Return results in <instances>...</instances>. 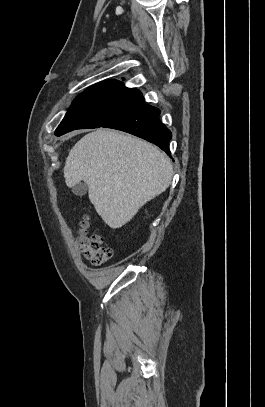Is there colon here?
<instances>
[{
  "label": "colon",
  "instance_id": "obj_1",
  "mask_svg": "<svg viewBox=\"0 0 265 407\" xmlns=\"http://www.w3.org/2000/svg\"><path fill=\"white\" fill-rule=\"evenodd\" d=\"M78 240L84 257L93 265H100L111 258L112 249L104 245L100 235L90 231L88 217L81 223Z\"/></svg>",
  "mask_w": 265,
  "mask_h": 407
}]
</instances>
